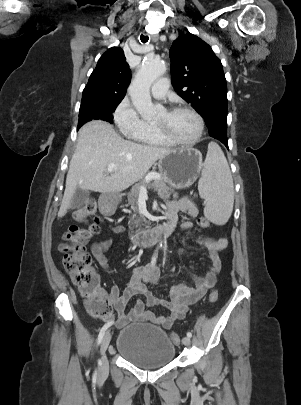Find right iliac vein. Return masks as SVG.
Listing matches in <instances>:
<instances>
[{"instance_id": "1", "label": "right iliac vein", "mask_w": 301, "mask_h": 405, "mask_svg": "<svg viewBox=\"0 0 301 405\" xmlns=\"http://www.w3.org/2000/svg\"><path fill=\"white\" fill-rule=\"evenodd\" d=\"M111 337H112L111 333L107 332L102 339L101 348H100L101 359H100V368H99L101 374H105L108 370V360H107V356H106V351H107L108 345L110 343Z\"/></svg>"}]
</instances>
